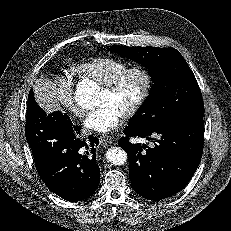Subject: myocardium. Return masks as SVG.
I'll return each mask as SVG.
<instances>
[{
  "instance_id": "myocardium-1",
  "label": "myocardium",
  "mask_w": 231,
  "mask_h": 231,
  "mask_svg": "<svg viewBox=\"0 0 231 231\" xmlns=\"http://www.w3.org/2000/svg\"><path fill=\"white\" fill-rule=\"evenodd\" d=\"M131 73H139L143 77V86L137 98L124 110L125 116L135 114L149 97L153 85L151 72L145 66L133 65L126 67L106 83L102 84V88L106 91L110 93L115 92L125 77Z\"/></svg>"
}]
</instances>
